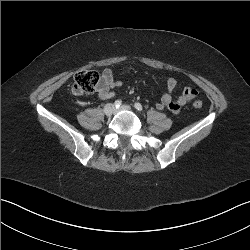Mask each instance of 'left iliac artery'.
Returning <instances> with one entry per match:
<instances>
[{"instance_id":"44dca946","label":"left iliac artery","mask_w":250,"mask_h":250,"mask_svg":"<svg viewBox=\"0 0 250 250\" xmlns=\"http://www.w3.org/2000/svg\"><path fill=\"white\" fill-rule=\"evenodd\" d=\"M134 107H135V109H137L138 111H142V105L140 104V103H138V102H136L135 104H134Z\"/></svg>"}]
</instances>
